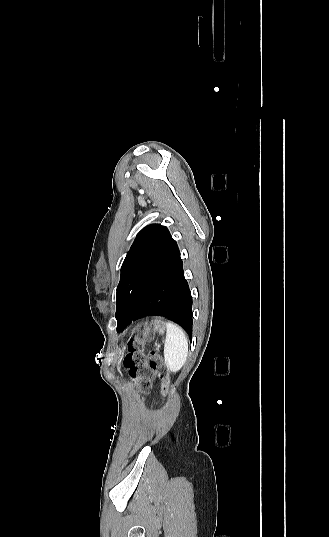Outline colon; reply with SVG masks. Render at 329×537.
<instances>
[{"mask_svg": "<svg viewBox=\"0 0 329 537\" xmlns=\"http://www.w3.org/2000/svg\"><path fill=\"white\" fill-rule=\"evenodd\" d=\"M147 337V333L141 330L132 335L128 343L124 365L135 378L139 390L145 392L150 387L151 379L159 377L162 380V394H165L170 381L169 373L157 352L144 353Z\"/></svg>", "mask_w": 329, "mask_h": 537, "instance_id": "obj_1", "label": "colon"}]
</instances>
